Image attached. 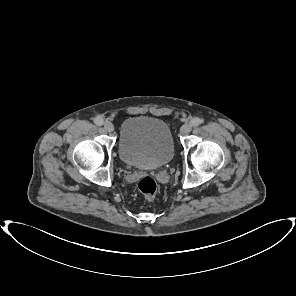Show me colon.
<instances>
[{
  "label": "colon",
  "instance_id": "5ec220e1",
  "mask_svg": "<svg viewBox=\"0 0 296 296\" xmlns=\"http://www.w3.org/2000/svg\"><path fill=\"white\" fill-rule=\"evenodd\" d=\"M138 190L146 198L152 200L156 196L157 184L153 178L146 176L138 182Z\"/></svg>",
  "mask_w": 296,
  "mask_h": 296
}]
</instances>
